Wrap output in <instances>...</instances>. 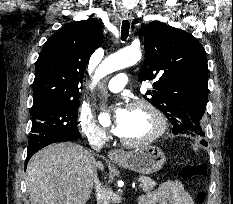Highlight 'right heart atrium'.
<instances>
[{"label": "right heart atrium", "instance_id": "1", "mask_svg": "<svg viewBox=\"0 0 233 204\" xmlns=\"http://www.w3.org/2000/svg\"><path fill=\"white\" fill-rule=\"evenodd\" d=\"M77 126L81 135L90 143H101L107 138L106 132L95 122L86 109L79 110Z\"/></svg>", "mask_w": 233, "mask_h": 204}]
</instances>
